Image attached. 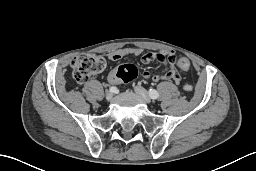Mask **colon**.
<instances>
[{"label":"colon","instance_id":"1","mask_svg":"<svg viewBox=\"0 0 256 171\" xmlns=\"http://www.w3.org/2000/svg\"><path fill=\"white\" fill-rule=\"evenodd\" d=\"M175 62L183 69L187 70L190 61L186 57H177ZM105 60L103 57L93 54H81L74 57L71 61L72 77L75 83L81 84L88 80L90 75L99 73L105 68ZM117 77L124 83L135 80L139 75V70L134 64H123L116 70ZM184 92L192 91V86L188 83L182 86Z\"/></svg>","mask_w":256,"mask_h":171}]
</instances>
